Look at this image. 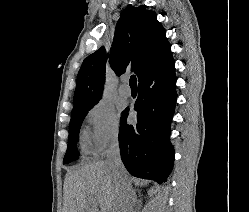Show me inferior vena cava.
Wrapping results in <instances>:
<instances>
[{
	"mask_svg": "<svg viewBox=\"0 0 249 212\" xmlns=\"http://www.w3.org/2000/svg\"><path fill=\"white\" fill-rule=\"evenodd\" d=\"M106 162L114 168V184L117 198L114 202L113 212H133L132 186L122 164L118 140L111 142L106 152Z\"/></svg>",
	"mask_w": 249,
	"mask_h": 212,
	"instance_id": "602c4592",
	"label": "inferior vena cava"
}]
</instances>
